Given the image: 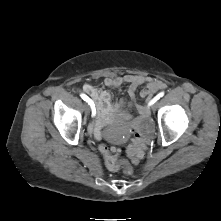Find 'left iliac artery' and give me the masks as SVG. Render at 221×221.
<instances>
[{
  "instance_id": "left-iliac-artery-1",
  "label": "left iliac artery",
  "mask_w": 221,
  "mask_h": 221,
  "mask_svg": "<svg viewBox=\"0 0 221 221\" xmlns=\"http://www.w3.org/2000/svg\"><path fill=\"white\" fill-rule=\"evenodd\" d=\"M164 96V92H160L155 98H153V100L150 102V104H153L154 102H156L159 98Z\"/></svg>"
}]
</instances>
